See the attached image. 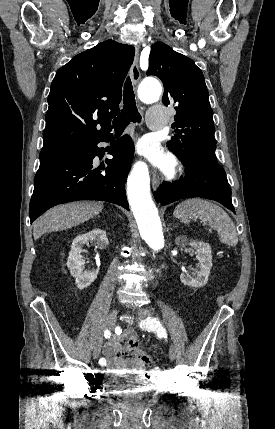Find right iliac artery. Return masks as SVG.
<instances>
[{
	"mask_svg": "<svg viewBox=\"0 0 275 429\" xmlns=\"http://www.w3.org/2000/svg\"><path fill=\"white\" fill-rule=\"evenodd\" d=\"M110 336H111V332H110V330H108V329H107V330H105V331H104V337L108 339V338H110ZM99 364H100L101 366L106 365V360H105V358H103V357H102V358H100V359H99Z\"/></svg>",
	"mask_w": 275,
	"mask_h": 429,
	"instance_id": "82829eb1",
	"label": "right iliac artery"
}]
</instances>
